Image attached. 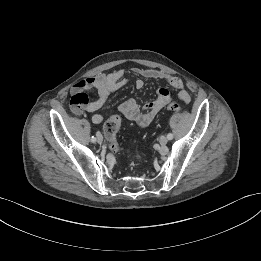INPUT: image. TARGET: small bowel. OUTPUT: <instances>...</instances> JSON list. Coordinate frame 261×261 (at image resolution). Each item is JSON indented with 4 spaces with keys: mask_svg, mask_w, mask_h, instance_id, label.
Segmentation results:
<instances>
[{
    "mask_svg": "<svg viewBox=\"0 0 261 261\" xmlns=\"http://www.w3.org/2000/svg\"><path fill=\"white\" fill-rule=\"evenodd\" d=\"M133 72L139 76L133 80L125 77L123 69H118L109 74L100 73L78 81L71 88L72 111L77 115L82 114L84 111L94 113L92 122L99 124L104 120V117L97 111L105 105L110 94L129 83H133L136 89H141L144 86L143 78L163 81L176 91L177 98L181 102H190V94L178 77L150 68H134ZM90 90L97 92L96 99L91 100L89 98L87 91ZM170 99L171 95L168 89L160 88L157 90L156 98L144 106L141 107L134 99H127L119 105L118 109L128 120L136 122L140 127H146Z\"/></svg>",
    "mask_w": 261,
    "mask_h": 261,
    "instance_id": "1",
    "label": "small bowel"
}]
</instances>
